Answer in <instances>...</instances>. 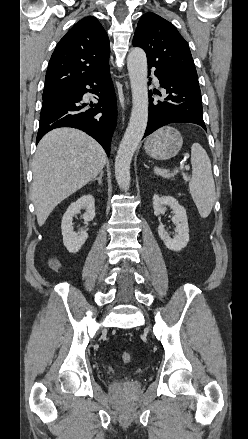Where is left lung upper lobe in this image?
Wrapping results in <instances>:
<instances>
[{
	"label": "left lung upper lobe",
	"instance_id": "5c2ea615",
	"mask_svg": "<svg viewBox=\"0 0 248 439\" xmlns=\"http://www.w3.org/2000/svg\"><path fill=\"white\" fill-rule=\"evenodd\" d=\"M133 46L146 52L148 65L156 70L199 86L189 45L169 21L155 13L144 14L138 22Z\"/></svg>",
	"mask_w": 248,
	"mask_h": 439
}]
</instances>
